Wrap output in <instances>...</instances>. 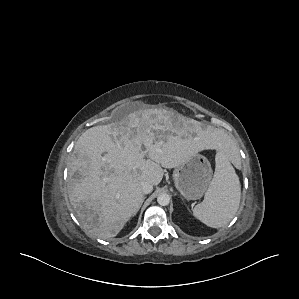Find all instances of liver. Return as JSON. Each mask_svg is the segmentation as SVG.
Instances as JSON below:
<instances>
[{
    "instance_id": "6515ba94",
    "label": "liver",
    "mask_w": 299,
    "mask_h": 299,
    "mask_svg": "<svg viewBox=\"0 0 299 299\" xmlns=\"http://www.w3.org/2000/svg\"><path fill=\"white\" fill-rule=\"evenodd\" d=\"M180 121L184 117L171 111L144 109L79 137L67 187L72 208L90 234L115 237L144 201L141 182L158 185L162 167L176 168L204 148H226L229 137L223 130L192 137Z\"/></svg>"
}]
</instances>
